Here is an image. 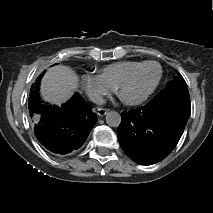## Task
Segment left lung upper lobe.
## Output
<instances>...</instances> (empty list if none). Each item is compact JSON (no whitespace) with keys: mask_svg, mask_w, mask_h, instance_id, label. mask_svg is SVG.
<instances>
[{"mask_svg":"<svg viewBox=\"0 0 213 213\" xmlns=\"http://www.w3.org/2000/svg\"><path fill=\"white\" fill-rule=\"evenodd\" d=\"M166 88H179L188 90L187 84L181 74H179V76L174 78L172 81L168 82Z\"/></svg>","mask_w":213,"mask_h":213,"instance_id":"5c2ea615","label":"left lung upper lobe"}]
</instances>
